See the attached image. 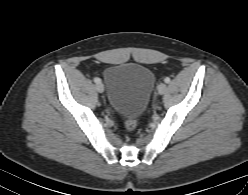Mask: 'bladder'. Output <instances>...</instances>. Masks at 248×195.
<instances>
[{"label": "bladder", "mask_w": 248, "mask_h": 195, "mask_svg": "<svg viewBox=\"0 0 248 195\" xmlns=\"http://www.w3.org/2000/svg\"><path fill=\"white\" fill-rule=\"evenodd\" d=\"M109 104L119 113L140 116L153 90V72L137 63H117L108 66L103 74Z\"/></svg>", "instance_id": "bladder-1"}]
</instances>
